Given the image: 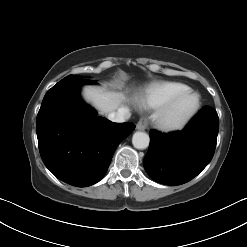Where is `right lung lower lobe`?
Returning <instances> with one entry per match:
<instances>
[{
    "instance_id": "1",
    "label": "right lung lower lobe",
    "mask_w": 247,
    "mask_h": 247,
    "mask_svg": "<svg viewBox=\"0 0 247 247\" xmlns=\"http://www.w3.org/2000/svg\"><path fill=\"white\" fill-rule=\"evenodd\" d=\"M93 81L75 78L49 89L37 116L41 158L58 179L77 187L100 181L120 142L135 128L130 122L113 123L97 116L80 95Z\"/></svg>"
}]
</instances>
